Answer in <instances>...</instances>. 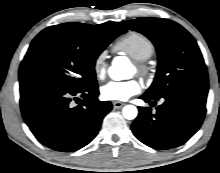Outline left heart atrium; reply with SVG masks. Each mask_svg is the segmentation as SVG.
Listing matches in <instances>:
<instances>
[{
	"mask_svg": "<svg viewBox=\"0 0 220 173\" xmlns=\"http://www.w3.org/2000/svg\"><path fill=\"white\" fill-rule=\"evenodd\" d=\"M141 85L138 80L110 81L101 87V95L105 100L126 101L138 94Z\"/></svg>",
	"mask_w": 220,
	"mask_h": 173,
	"instance_id": "39dd6f15",
	"label": "left heart atrium"
}]
</instances>
